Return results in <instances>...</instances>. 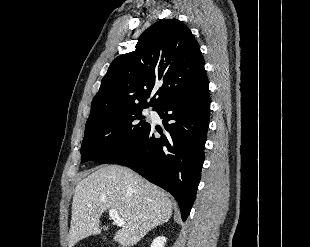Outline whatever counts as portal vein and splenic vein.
Segmentation results:
<instances>
[{"label": "portal vein and splenic vein", "mask_w": 310, "mask_h": 247, "mask_svg": "<svg viewBox=\"0 0 310 247\" xmlns=\"http://www.w3.org/2000/svg\"><path fill=\"white\" fill-rule=\"evenodd\" d=\"M109 216L110 218L114 221V223L119 226L122 227L124 226V220L120 217V215L118 214L117 210L115 209H110L109 210Z\"/></svg>", "instance_id": "obj_1"}]
</instances>
